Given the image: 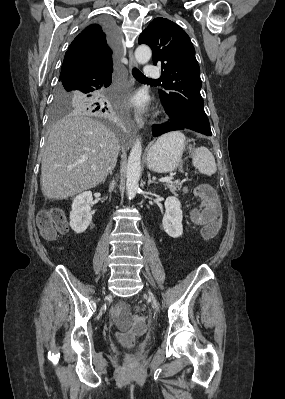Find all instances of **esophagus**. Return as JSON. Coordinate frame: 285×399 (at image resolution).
<instances>
[{"instance_id": "esophagus-1", "label": "esophagus", "mask_w": 285, "mask_h": 399, "mask_svg": "<svg viewBox=\"0 0 285 399\" xmlns=\"http://www.w3.org/2000/svg\"><path fill=\"white\" fill-rule=\"evenodd\" d=\"M128 56H129V68H130V70H133V68H135L137 66V61L134 57L133 49L129 50ZM134 120L136 121V123L140 129L143 128L144 120L140 114H136L134 117Z\"/></svg>"}]
</instances>
